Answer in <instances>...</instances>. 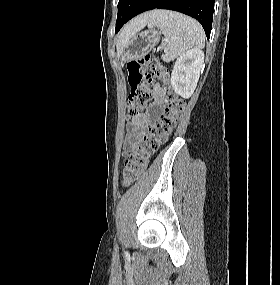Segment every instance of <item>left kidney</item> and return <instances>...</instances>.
I'll use <instances>...</instances> for the list:
<instances>
[{
	"label": "left kidney",
	"instance_id": "obj_1",
	"mask_svg": "<svg viewBox=\"0 0 280 285\" xmlns=\"http://www.w3.org/2000/svg\"><path fill=\"white\" fill-rule=\"evenodd\" d=\"M204 63V53L194 48L182 54L175 62L171 85L176 94L188 99L194 93Z\"/></svg>",
	"mask_w": 280,
	"mask_h": 285
}]
</instances>
